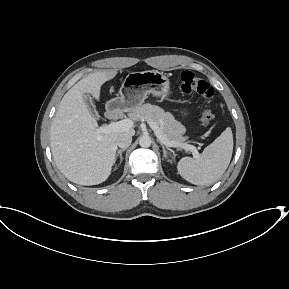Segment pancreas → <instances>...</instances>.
I'll return each mask as SVG.
<instances>
[{"mask_svg":"<svg viewBox=\"0 0 289 289\" xmlns=\"http://www.w3.org/2000/svg\"><path fill=\"white\" fill-rule=\"evenodd\" d=\"M130 118L135 121H153L160 126V129L166 139L170 142L183 143L186 138L183 136L185 127L175 120L173 115L165 112L162 108L152 105L143 104L129 114Z\"/></svg>","mask_w":289,"mask_h":289,"instance_id":"pancreas-1","label":"pancreas"}]
</instances>
